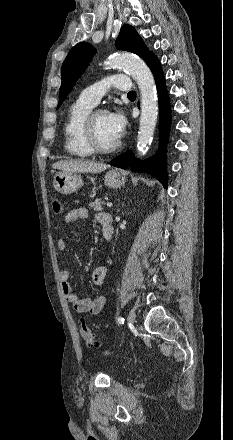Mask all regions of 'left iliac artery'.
I'll list each match as a JSON object with an SVG mask.
<instances>
[{"label": "left iliac artery", "mask_w": 233, "mask_h": 440, "mask_svg": "<svg viewBox=\"0 0 233 440\" xmlns=\"http://www.w3.org/2000/svg\"><path fill=\"white\" fill-rule=\"evenodd\" d=\"M118 322H119L120 324H123V323H124V318L119 317V318H118Z\"/></svg>", "instance_id": "1"}]
</instances>
